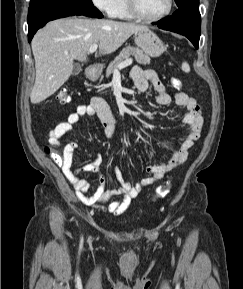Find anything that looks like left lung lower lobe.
Here are the masks:
<instances>
[{"mask_svg": "<svg viewBox=\"0 0 243 289\" xmlns=\"http://www.w3.org/2000/svg\"><path fill=\"white\" fill-rule=\"evenodd\" d=\"M153 24L161 29L186 36L198 48L201 33V17L198 4L179 7L171 17Z\"/></svg>", "mask_w": 243, "mask_h": 289, "instance_id": "1", "label": "left lung lower lobe"}]
</instances>
